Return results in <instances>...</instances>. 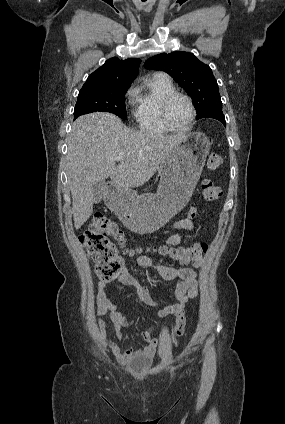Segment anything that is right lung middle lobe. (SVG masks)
Wrapping results in <instances>:
<instances>
[{
	"mask_svg": "<svg viewBox=\"0 0 285 424\" xmlns=\"http://www.w3.org/2000/svg\"><path fill=\"white\" fill-rule=\"evenodd\" d=\"M129 87V84H125L82 88L75 106L74 119L96 111L110 112L126 119L125 94Z\"/></svg>",
	"mask_w": 285,
	"mask_h": 424,
	"instance_id": "1",
	"label": "right lung middle lobe"
}]
</instances>
